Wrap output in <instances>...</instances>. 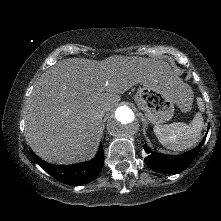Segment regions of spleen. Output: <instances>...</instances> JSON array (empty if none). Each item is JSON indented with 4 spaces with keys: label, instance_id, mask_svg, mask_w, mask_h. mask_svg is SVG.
Returning <instances> with one entry per match:
<instances>
[{
    "label": "spleen",
    "instance_id": "spleen-1",
    "mask_svg": "<svg viewBox=\"0 0 221 221\" xmlns=\"http://www.w3.org/2000/svg\"><path fill=\"white\" fill-rule=\"evenodd\" d=\"M187 88L191 91L189 86ZM198 103L201 108L203 103L200 99H198ZM203 126L202 115L197 113L190 124L176 122L166 125H155L153 130L163 146L174 151H183L199 142Z\"/></svg>",
    "mask_w": 221,
    "mask_h": 221
}]
</instances>
